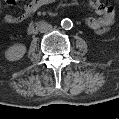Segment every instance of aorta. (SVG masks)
I'll return each instance as SVG.
<instances>
[{
    "label": "aorta",
    "instance_id": "obj_1",
    "mask_svg": "<svg viewBox=\"0 0 119 119\" xmlns=\"http://www.w3.org/2000/svg\"><path fill=\"white\" fill-rule=\"evenodd\" d=\"M61 26H62L63 29L69 30V29L72 28L73 23L70 19L65 18L61 21Z\"/></svg>",
    "mask_w": 119,
    "mask_h": 119
}]
</instances>
